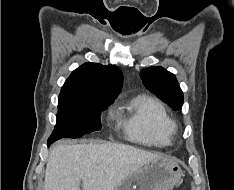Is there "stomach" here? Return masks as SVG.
Instances as JSON below:
<instances>
[{"label": "stomach", "mask_w": 234, "mask_h": 190, "mask_svg": "<svg viewBox=\"0 0 234 190\" xmlns=\"http://www.w3.org/2000/svg\"><path fill=\"white\" fill-rule=\"evenodd\" d=\"M182 176L176 162L160 156L124 178L114 190H172Z\"/></svg>", "instance_id": "1"}]
</instances>
